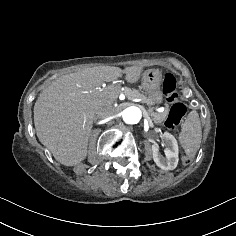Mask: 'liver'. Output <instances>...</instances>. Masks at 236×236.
Wrapping results in <instances>:
<instances>
[{
	"label": "liver",
	"instance_id": "obj_1",
	"mask_svg": "<svg viewBox=\"0 0 236 236\" xmlns=\"http://www.w3.org/2000/svg\"><path fill=\"white\" fill-rule=\"evenodd\" d=\"M144 66L102 65L65 74L40 94L34 105V126L39 142L66 167L86 160L88 144L97 121L117 115L113 97L117 88L97 89L104 82L124 76L127 84H136L144 75Z\"/></svg>",
	"mask_w": 236,
	"mask_h": 236
}]
</instances>
